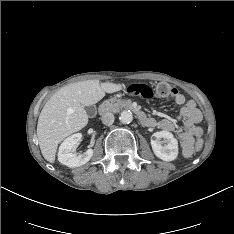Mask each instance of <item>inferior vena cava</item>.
<instances>
[{"label":"inferior vena cava","mask_w":234,"mask_h":234,"mask_svg":"<svg viewBox=\"0 0 234 234\" xmlns=\"http://www.w3.org/2000/svg\"><path fill=\"white\" fill-rule=\"evenodd\" d=\"M114 115L111 112H106L102 115L101 120L105 125H111L114 122Z\"/></svg>","instance_id":"602c4592"}]
</instances>
